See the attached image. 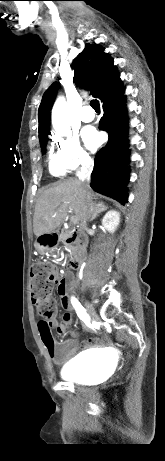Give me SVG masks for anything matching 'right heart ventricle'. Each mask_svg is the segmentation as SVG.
Wrapping results in <instances>:
<instances>
[{
    "instance_id": "e07e8e85",
    "label": "right heart ventricle",
    "mask_w": 165,
    "mask_h": 461,
    "mask_svg": "<svg viewBox=\"0 0 165 461\" xmlns=\"http://www.w3.org/2000/svg\"><path fill=\"white\" fill-rule=\"evenodd\" d=\"M49 171L53 176H63L66 172L59 163L57 156L52 152L49 154Z\"/></svg>"
}]
</instances>
